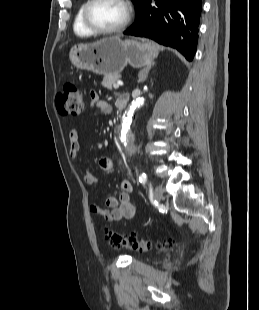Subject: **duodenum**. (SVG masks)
<instances>
[{
    "label": "duodenum",
    "mask_w": 259,
    "mask_h": 310,
    "mask_svg": "<svg viewBox=\"0 0 259 310\" xmlns=\"http://www.w3.org/2000/svg\"><path fill=\"white\" fill-rule=\"evenodd\" d=\"M129 99V96L127 95H123L118 99V109L120 111H123L127 107Z\"/></svg>",
    "instance_id": "410a0bca"
}]
</instances>
